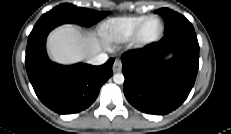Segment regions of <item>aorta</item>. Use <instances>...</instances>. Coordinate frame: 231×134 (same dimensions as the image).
<instances>
[{
  "label": "aorta",
  "instance_id": "1",
  "mask_svg": "<svg viewBox=\"0 0 231 134\" xmlns=\"http://www.w3.org/2000/svg\"><path fill=\"white\" fill-rule=\"evenodd\" d=\"M113 81L116 84H123L124 83V76L121 73H117L113 76Z\"/></svg>",
  "mask_w": 231,
  "mask_h": 134
}]
</instances>
